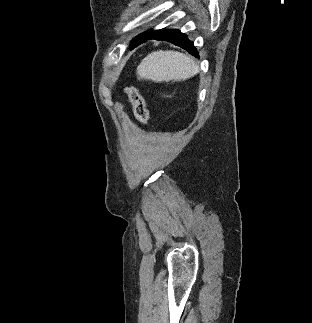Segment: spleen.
Instances as JSON below:
<instances>
[{"mask_svg":"<svg viewBox=\"0 0 312 323\" xmlns=\"http://www.w3.org/2000/svg\"><path fill=\"white\" fill-rule=\"evenodd\" d=\"M199 68L194 64L190 56L173 52V50H159L152 52L142 60L137 68V74L143 80H153V82H170V80H188L198 74Z\"/></svg>","mask_w":312,"mask_h":323,"instance_id":"3e777b00","label":"spleen"}]
</instances>
